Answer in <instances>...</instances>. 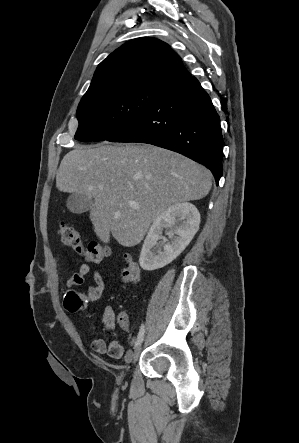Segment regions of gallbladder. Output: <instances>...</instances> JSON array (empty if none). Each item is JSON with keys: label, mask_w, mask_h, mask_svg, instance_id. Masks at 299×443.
<instances>
[{"label": "gallbladder", "mask_w": 299, "mask_h": 443, "mask_svg": "<svg viewBox=\"0 0 299 443\" xmlns=\"http://www.w3.org/2000/svg\"><path fill=\"white\" fill-rule=\"evenodd\" d=\"M66 206L74 214H82L91 210L93 199L82 193H72L66 202Z\"/></svg>", "instance_id": "gallbladder-1"}]
</instances>
